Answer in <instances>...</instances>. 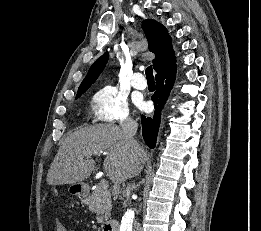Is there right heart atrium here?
<instances>
[{"instance_id":"1","label":"right heart atrium","mask_w":261,"mask_h":231,"mask_svg":"<svg viewBox=\"0 0 261 231\" xmlns=\"http://www.w3.org/2000/svg\"><path fill=\"white\" fill-rule=\"evenodd\" d=\"M95 119L106 124H127L131 121L126 97L115 87L104 86L92 97Z\"/></svg>"}]
</instances>
